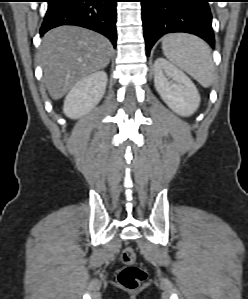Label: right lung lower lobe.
I'll return each instance as SVG.
<instances>
[{
	"label": "right lung lower lobe",
	"instance_id": "1",
	"mask_svg": "<svg viewBox=\"0 0 248 299\" xmlns=\"http://www.w3.org/2000/svg\"><path fill=\"white\" fill-rule=\"evenodd\" d=\"M116 2L117 0H48L40 35L43 36L57 26L76 25L103 34L116 47Z\"/></svg>",
	"mask_w": 248,
	"mask_h": 299
}]
</instances>
